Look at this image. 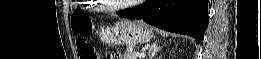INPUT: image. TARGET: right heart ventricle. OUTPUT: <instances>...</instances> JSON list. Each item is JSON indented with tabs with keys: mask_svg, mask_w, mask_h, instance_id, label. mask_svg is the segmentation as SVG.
Returning a JSON list of instances; mask_svg holds the SVG:
<instances>
[{
	"mask_svg": "<svg viewBox=\"0 0 261 59\" xmlns=\"http://www.w3.org/2000/svg\"><path fill=\"white\" fill-rule=\"evenodd\" d=\"M92 8H93L94 10H99V7H93V6H92Z\"/></svg>",
	"mask_w": 261,
	"mask_h": 59,
	"instance_id": "right-heart-ventricle-1",
	"label": "right heart ventricle"
}]
</instances>
